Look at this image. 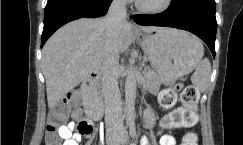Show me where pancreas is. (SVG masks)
<instances>
[{
    "instance_id": "1",
    "label": "pancreas",
    "mask_w": 243,
    "mask_h": 145,
    "mask_svg": "<svg viewBox=\"0 0 243 145\" xmlns=\"http://www.w3.org/2000/svg\"><path fill=\"white\" fill-rule=\"evenodd\" d=\"M150 73H151V75L146 77L147 86L150 89H156L162 83V79L158 73H156V72H150Z\"/></svg>"
}]
</instances>
